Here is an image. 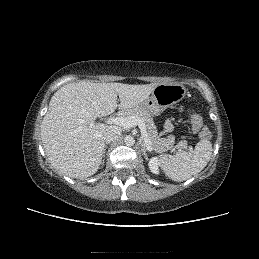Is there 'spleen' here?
<instances>
[{"mask_svg":"<svg viewBox=\"0 0 259 259\" xmlns=\"http://www.w3.org/2000/svg\"><path fill=\"white\" fill-rule=\"evenodd\" d=\"M212 143L208 139L200 140L190 153L178 151L175 156H164L160 166L165 174L176 182H182L201 172L212 155Z\"/></svg>","mask_w":259,"mask_h":259,"instance_id":"1","label":"spleen"}]
</instances>
